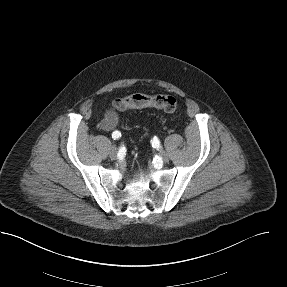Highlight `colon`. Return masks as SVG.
Returning a JSON list of instances; mask_svg holds the SVG:
<instances>
[{
	"label": "colon",
	"instance_id": "5ec220e1",
	"mask_svg": "<svg viewBox=\"0 0 287 287\" xmlns=\"http://www.w3.org/2000/svg\"><path fill=\"white\" fill-rule=\"evenodd\" d=\"M177 105V100L169 94L148 95L134 93L113 101V107L117 111L156 108L165 112H173L177 109Z\"/></svg>",
	"mask_w": 287,
	"mask_h": 287
}]
</instances>
